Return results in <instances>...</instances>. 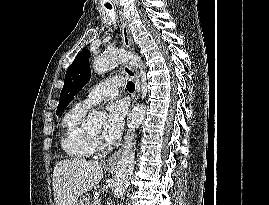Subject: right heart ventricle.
I'll return each mask as SVG.
<instances>
[{
  "mask_svg": "<svg viewBox=\"0 0 269 205\" xmlns=\"http://www.w3.org/2000/svg\"><path fill=\"white\" fill-rule=\"evenodd\" d=\"M86 108L77 104L63 118L61 147L72 159H87L95 152L90 133L82 126Z\"/></svg>",
  "mask_w": 269,
  "mask_h": 205,
  "instance_id": "right-heart-ventricle-1",
  "label": "right heart ventricle"
}]
</instances>
